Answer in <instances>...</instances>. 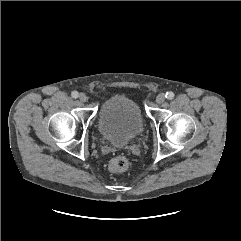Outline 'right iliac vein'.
Returning <instances> with one entry per match:
<instances>
[{"mask_svg":"<svg viewBox=\"0 0 241 241\" xmlns=\"http://www.w3.org/2000/svg\"><path fill=\"white\" fill-rule=\"evenodd\" d=\"M79 100L81 102H86L88 100V97H87V95L85 93H80L79 94Z\"/></svg>","mask_w":241,"mask_h":241,"instance_id":"1","label":"right iliac vein"}]
</instances>
